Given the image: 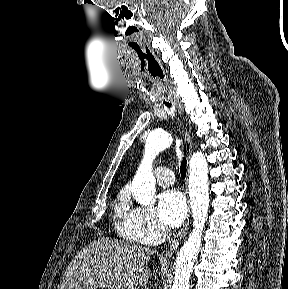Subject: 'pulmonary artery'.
<instances>
[{
    "label": "pulmonary artery",
    "mask_w": 288,
    "mask_h": 289,
    "mask_svg": "<svg viewBox=\"0 0 288 289\" xmlns=\"http://www.w3.org/2000/svg\"><path fill=\"white\" fill-rule=\"evenodd\" d=\"M156 181L161 186H169L174 182V173L166 167H158L155 170Z\"/></svg>",
    "instance_id": "1"
}]
</instances>
